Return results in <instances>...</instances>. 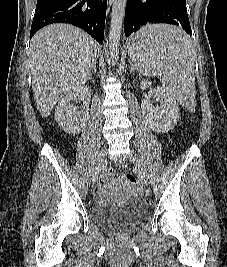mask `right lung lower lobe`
Masks as SVG:
<instances>
[{
  "mask_svg": "<svg viewBox=\"0 0 227 267\" xmlns=\"http://www.w3.org/2000/svg\"><path fill=\"white\" fill-rule=\"evenodd\" d=\"M106 7L107 0H37L30 38L48 24L69 23L102 44Z\"/></svg>",
  "mask_w": 227,
  "mask_h": 267,
  "instance_id": "1",
  "label": "right lung lower lobe"
}]
</instances>
